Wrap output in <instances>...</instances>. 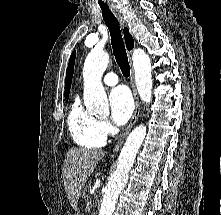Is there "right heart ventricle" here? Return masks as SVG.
<instances>
[{
    "instance_id": "obj_1",
    "label": "right heart ventricle",
    "mask_w": 221,
    "mask_h": 215,
    "mask_svg": "<svg viewBox=\"0 0 221 215\" xmlns=\"http://www.w3.org/2000/svg\"><path fill=\"white\" fill-rule=\"evenodd\" d=\"M67 123L77 145L95 148L104 144L105 138L98 132V120L83 108L79 98H75L70 106Z\"/></svg>"
}]
</instances>
